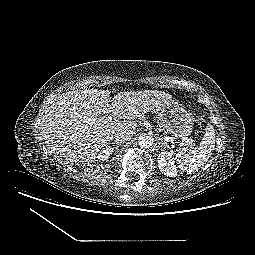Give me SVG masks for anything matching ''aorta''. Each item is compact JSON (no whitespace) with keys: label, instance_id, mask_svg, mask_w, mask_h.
Masks as SVG:
<instances>
[{"label":"aorta","instance_id":"aorta-1","mask_svg":"<svg viewBox=\"0 0 255 255\" xmlns=\"http://www.w3.org/2000/svg\"><path fill=\"white\" fill-rule=\"evenodd\" d=\"M138 144L142 148H150L153 145V139L151 136L143 134L139 136Z\"/></svg>","mask_w":255,"mask_h":255}]
</instances>
